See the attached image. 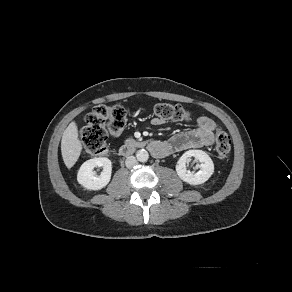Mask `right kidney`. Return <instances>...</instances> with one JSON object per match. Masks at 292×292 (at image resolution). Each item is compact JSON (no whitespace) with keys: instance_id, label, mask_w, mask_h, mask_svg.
Segmentation results:
<instances>
[{"instance_id":"1","label":"right kidney","mask_w":292,"mask_h":292,"mask_svg":"<svg viewBox=\"0 0 292 292\" xmlns=\"http://www.w3.org/2000/svg\"><path fill=\"white\" fill-rule=\"evenodd\" d=\"M102 167L103 171L100 176H95L93 169ZM112 162L108 158L99 157L85 161L77 174V181L83 187L89 190H100L104 188L111 179Z\"/></svg>"}]
</instances>
